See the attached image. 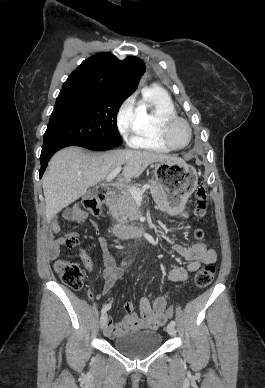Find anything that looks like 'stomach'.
I'll list each match as a JSON object with an SVG mask.
<instances>
[{"label":"stomach","instance_id":"obj_1","mask_svg":"<svg viewBox=\"0 0 265 388\" xmlns=\"http://www.w3.org/2000/svg\"><path fill=\"white\" fill-rule=\"evenodd\" d=\"M155 181L167 195V211L178 213L198 186V176L194 167L186 162L160 161L155 164Z\"/></svg>","mask_w":265,"mask_h":388}]
</instances>
